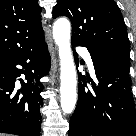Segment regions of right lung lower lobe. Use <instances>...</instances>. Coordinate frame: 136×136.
Masks as SVG:
<instances>
[{"instance_id":"1","label":"right lung lower lobe","mask_w":136,"mask_h":136,"mask_svg":"<svg viewBox=\"0 0 136 136\" xmlns=\"http://www.w3.org/2000/svg\"><path fill=\"white\" fill-rule=\"evenodd\" d=\"M21 65L23 68H17ZM50 68L44 36L15 55L0 59V132L19 136H40L42 84L40 78ZM19 79L20 90L15 87Z\"/></svg>"}]
</instances>
